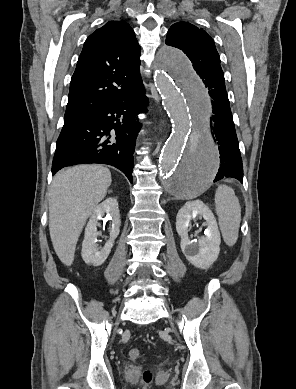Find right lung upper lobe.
<instances>
[{
    "mask_svg": "<svg viewBox=\"0 0 296 389\" xmlns=\"http://www.w3.org/2000/svg\"><path fill=\"white\" fill-rule=\"evenodd\" d=\"M141 49L124 21H109L84 43L70 83L64 120L72 121L122 98L140 74Z\"/></svg>",
    "mask_w": 296,
    "mask_h": 389,
    "instance_id": "cb5924a9",
    "label": "right lung upper lobe"
}]
</instances>
